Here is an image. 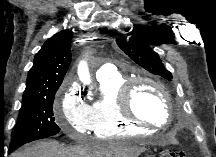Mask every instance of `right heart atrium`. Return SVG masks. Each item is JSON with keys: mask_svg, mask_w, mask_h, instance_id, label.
Here are the masks:
<instances>
[{"mask_svg": "<svg viewBox=\"0 0 216 157\" xmlns=\"http://www.w3.org/2000/svg\"><path fill=\"white\" fill-rule=\"evenodd\" d=\"M56 121L62 131L72 137L91 130L90 108L84 102L78 87L70 80L65 81L61 87L60 109Z\"/></svg>", "mask_w": 216, "mask_h": 157, "instance_id": "d8ad5b80", "label": "right heart atrium"}]
</instances>
